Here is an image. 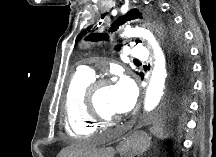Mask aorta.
<instances>
[{
  "label": "aorta",
  "instance_id": "aorta-1",
  "mask_svg": "<svg viewBox=\"0 0 216 157\" xmlns=\"http://www.w3.org/2000/svg\"><path fill=\"white\" fill-rule=\"evenodd\" d=\"M122 37L143 38L153 48L154 60H155L154 67L152 70L151 79L147 87L145 100H144V110L146 112H151L160 103L165 91V83L167 79L165 56L154 35L149 30L143 27H138V26L132 27L130 25H126L124 27ZM121 155L126 156L129 154L122 149Z\"/></svg>",
  "mask_w": 216,
  "mask_h": 157
}]
</instances>
